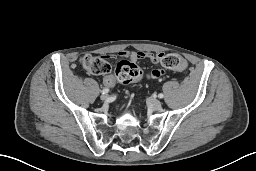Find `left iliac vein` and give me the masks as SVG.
I'll list each match as a JSON object with an SVG mask.
<instances>
[{
    "label": "left iliac vein",
    "instance_id": "left-iliac-vein-1",
    "mask_svg": "<svg viewBox=\"0 0 256 171\" xmlns=\"http://www.w3.org/2000/svg\"><path fill=\"white\" fill-rule=\"evenodd\" d=\"M148 104L154 110H159L162 105L158 99H149Z\"/></svg>",
    "mask_w": 256,
    "mask_h": 171
}]
</instances>
